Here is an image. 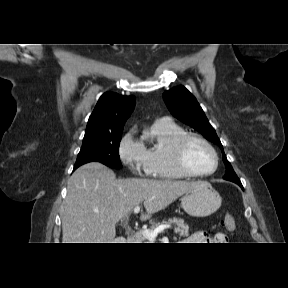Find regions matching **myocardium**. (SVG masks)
<instances>
[{"label": "myocardium", "mask_w": 288, "mask_h": 288, "mask_svg": "<svg viewBox=\"0 0 288 288\" xmlns=\"http://www.w3.org/2000/svg\"><path fill=\"white\" fill-rule=\"evenodd\" d=\"M191 141H197L203 144L213 154L214 159H215V165H214V168L210 172H206V173L195 172L191 170L186 164L185 150H186L187 145ZM172 160L177 170L188 177H197V178L209 177L215 174L219 167V155L216 149L213 147V145L205 138L197 134H193V133H185L174 141L172 145Z\"/></svg>", "instance_id": "obj_1"}]
</instances>
